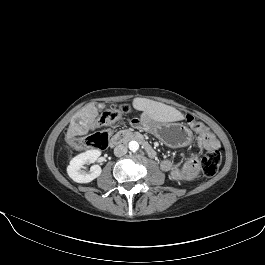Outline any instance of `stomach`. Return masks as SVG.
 <instances>
[{
  "instance_id": "stomach-1",
  "label": "stomach",
  "mask_w": 265,
  "mask_h": 265,
  "mask_svg": "<svg viewBox=\"0 0 265 265\" xmlns=\"http://www.w3.org/2000/svg\"><path fill=\"white\" fill-rule=\"evenodd\" d=\"M142 128L170 147H183L191 143V131L180 123L156 122L141 119Z\"/></svg>"
}]
</instances>
